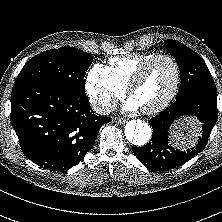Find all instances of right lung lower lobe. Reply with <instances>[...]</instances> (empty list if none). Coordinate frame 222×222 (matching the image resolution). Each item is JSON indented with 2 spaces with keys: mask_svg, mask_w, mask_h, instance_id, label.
Here are the masks:
<instances>
[{
  "mask_svg": "<svg viewBox=\"0 0 222 222\" xmlns=\"http://www.w3.org/2000/svg\"><path fill=\"white\" fill-rule=\"evenodd\" d=\"M10 118L26 157L53 171L83 160L111 120L95 115L85 94L41 82L14 84Z\"/></svg>",
  "mask_w": 222,
  "mask_h": 222,
  "instance_id": "1",
  "label": "right lung lower lobe"
}]
</instances>
